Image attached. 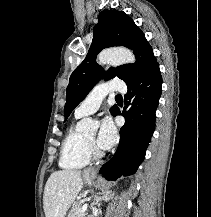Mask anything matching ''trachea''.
I'll use <instances>...</instances> for the list:
<instances>
[{"label": "trachea", "mask_w": 211, "mask_h": 217, "mask_svg": "<svg viewBox=\"0 0 211 217\" xmlns=\"http://www.w3.org/2000/svg\"><path fill=\"white\" fill-rule=\"evenodd\" d=\"M116 97H117V98H121L122 96H121V95H117Z\"/></svg>", "instance_id": "trachea-1"}]
</instances>
